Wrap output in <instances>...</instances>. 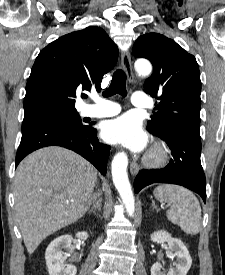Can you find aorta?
Instances as JSON below:
<instances>
[{"mask_svg":"<svg viewBox=\"0 0 225 275\" xmlns=\"http://www.w3.org/2000/svg\"><path fill=\"white\" fill-rule=\"evenodd\" d=\"M135 71L139 76H148L152 71V66L148 61H137ZM128 156L124 152L117 153L111 165L113 183L125 205L130 217L135 210V199L127 174Z\"/></svg>","mask_w":225,"mask_h":275,"instance_id":"aorta-1","label":"aorta"}]
</instances>
